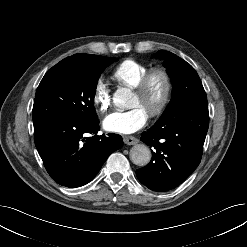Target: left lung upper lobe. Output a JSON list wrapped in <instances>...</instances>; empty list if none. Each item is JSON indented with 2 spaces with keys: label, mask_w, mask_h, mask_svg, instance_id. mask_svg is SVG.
<instances>
[{
  "label": "left lung upper lobe",
  "mask_w": 247,
  "mask_h": 247,
  "mask_svg": "<svg viewBox=\"0 0 247 247\" xmlns=\"http://www.w3.org/2000/svg\"><path fill=\"white\" fill-rule=\"evenodd\" d=\"M156 57L165 60L164 65L173 83L170 103L161 118L174 116L196 103H207V96L194 68L180 57L160 50Z\"/></svg>",
  "instance_id": "obj_1"
}]
</instances>
